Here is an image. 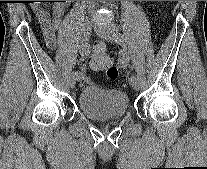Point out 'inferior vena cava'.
Masks as SVG:
<instances>
[{
  "label": "inferior vena cava",
  "mask_w": 207,
  "mask_h": 169,
  "mask_svg": "<svg viewBox=\"0 0 207 169\" xmlns=\"http://www.w3.org/2000/svg\"><path fill=\"white\" fill-rule=\"evenodd\" d=\"M94 1H87V3H89V4H91V3H93Z\"/></svg>",
  "instance_id": "inferior-vena-cava-1"
}]
</instances>
